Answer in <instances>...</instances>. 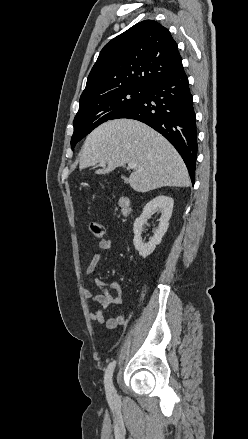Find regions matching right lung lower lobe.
<instances>
[{"label":"right lung lower lobe","instance_id":"1","mask_svg":"<svg viewBox=\"0 0 248 439\" xmlns=\"http://www.w3.org/2000/svg\"><path fill=\"white\" fill-rule=\"evenodd\" d=\"M119 118L139 120L168 139L184 160L194 184L197 157L196 115L193 96L183 68L151 84L141 99Z\"/></svg>","mask_w":248,"mask_h":439}]
</instances>
